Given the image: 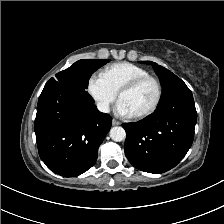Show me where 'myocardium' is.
<instances>
[{
	"label": "myocardium",
	"instance_id": "f54148a6",
	"mask_svg": "<svg viewBox=\"0 0 224 224\" xmlns=\"http://www.w3.org/2000/svg\"><path fill=\"white\" fill-rule=\"evenodd\" d=\"M147 80L153 81L156 85V89H157L156 99H155L154 103L151 105V107L148 108L146 111L139 113L137 115H132V118H134L136 120H141L146 117H149L158 109V107L161 103V100H162V96H163V89H162V85H161V82L159 81V79L152 75H149V74L143 75V76H138V77L133 78L132 80L128 81L127 83H125L117 92V98H118V100H120V97L124 93L133 90L139 84H141L142 82L147 81Z\"/></svg>",
	"mask_w": 224,
	"mask_h": 224
}]
</instances>
